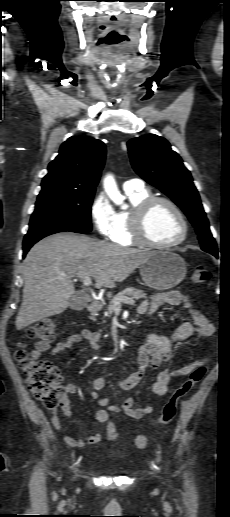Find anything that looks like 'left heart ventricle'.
Here are the masks:
<instances>
[{"label": "left heart ventricle", "instance_id": "b2bd125f", "mask_svg": "<svg viewBox=\"0 0 230 517\" xmlns=\"http://www.w3.org/2000/svg\"><path fill=\"white\" fill-rule=\"evenodd\" d=\"M148 236L159 243L177 240L183 231L181 220L166 204L158 203L150 211L146 221Z\"/></svg>", "mask_w": 230, "mask_h": 517}]
</instances>
